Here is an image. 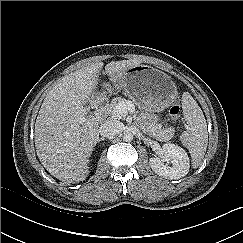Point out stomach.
<instances>
[{
	"label": "stomach",
	"mask_w": 243,
	"mask_h": 243,
	"mask_svg": "<svg viewBox=\"0 0 243 243\" xmlns=\"http://www.w3.org/2000/svg\"><path fill=\"white\" fill-rule=\"evenodd\" d=\"M104 86L107 90L122 89L138 106L152 112L169 107L176 98L177 89L164 72L145 64L127 68L120 77Z\"/></svg>",
	"instance_id": "stomach-1"
}]
</instances>
